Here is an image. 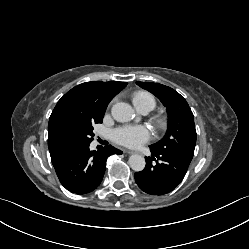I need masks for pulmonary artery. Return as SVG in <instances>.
Wrapping results in <instances>:
<instances>
[{
    "mask_svg": "<svg viewBox=\"0 0 249 249\" xmlns=\"http://www.w3.org/2000/svg\"><path fill=\"white\" fill-rule=\"evenodd\" d=\"M150 110H152L150 107H146V108L141 109L140 111L143 112V113H147Z\"/></svg>",
    "mask_w": 249,
    "mask_h": 249,
    "instance_id": "obj_1",
    "label": "pulmonary artery"
}]
</instances>
